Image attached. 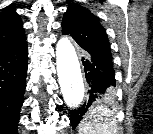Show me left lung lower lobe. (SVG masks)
<instances>
[{
    "label": "left lung lower lobe",
    "instance_id": "0a47b994",
    "mask_svg": "<svg viewBox=\"0 0 153 134\" xmlns=\"http://www.w3.org/2000/svg\"><path fill=\"white\" fill-rule=\"evenodd\" d=\"M86 80L88 82V100L78 109L71 110L73 128L81 121L83 115L98 98L109 95L110 89L116 83L114 69L107 62L95 56L82 58Z\"/></svg>",
    "mask_w": 153,
    "mask_h": 134
}]
</instances>
